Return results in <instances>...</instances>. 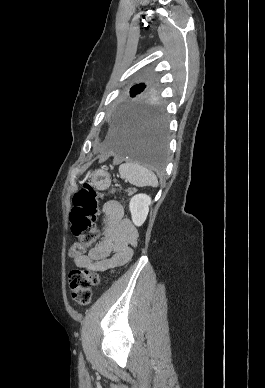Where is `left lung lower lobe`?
Listing matches in <instances>:
<instances>
[{
    "mask_svg": "<svg viewBox=\"0 0 265 388\" xmlns=\"http://www.w3.org/2000/svg\"><path fill=\"white\" fill-rule=\"evenodd\" d=\"M167 120L159 108H120L105 141L107 151L161 171L166 163Z\"/></svg>",
    "mask_w": 265,
    "mask_h": 388,
    "instance_id": "0a47b994",
    "label": "left lung lower lobe"
}]
</instances>
